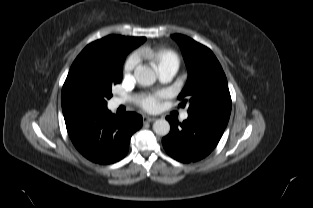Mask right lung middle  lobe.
Instances as JSON below:
<instances>
[{
	"label": "right lung middle lobe",
	"instance_id": "dd1d6c3e",
	"mask_svg": "<svg viewBox=\"0 0 313 208\" xmlns=\"http://www.w3.org/2000/svg\"><path fill=\"white\" fill-rule=\"evenodd\" d=\"M128 51L114 48L108 62L70 72L62 88V98H71L106 106L112 86L122 80V64Z\"/></svg>",
	"mask_w": 313,
	"mask_h": 208
}]
</instances>
